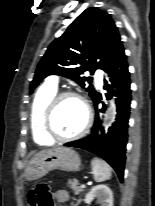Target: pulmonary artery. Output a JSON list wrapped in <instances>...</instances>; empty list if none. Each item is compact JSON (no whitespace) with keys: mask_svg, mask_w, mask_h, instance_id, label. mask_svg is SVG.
<instances>
[{"mask_svg":"<svg viewBox=\"0 0 155 206\" xmlns=\"http://www.w3.org/2000/svg\"><path fill=\"white\" fill-rule=\"evenodd\" d=\"M96 76H97L98 85L101 86L102 83H103V73H102V71H98ZM58 82H59L58 77H51V78L48 79V83L53 85V86H56V87L58 85Z\"/></svg>","mask_w":155,"mask_h":206,"instance_id":"pulmonary-artery-1","label":"pulmonary artery"}]
</instances>
